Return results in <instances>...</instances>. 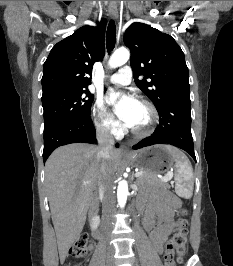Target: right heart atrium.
Listing matches in <instances>:
<instances>
[{"label":"right heart atrium","mask_w":233,"mask_h":266,"mask_svg":"<svg viewBox=\"0 0 233 266\" xmlns=\"http://www.w3.org/2000/svg\"><path fill=\"white\" fill-rule=\"evenodd\" d=\"M93 117L95 126L100 133L113 136L120 133L121 128L118 121L108 111L101 98L95 101Z\"/></svg>","instance_id":"1"}]
</instances>
